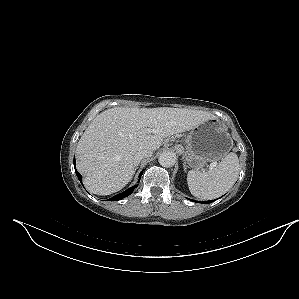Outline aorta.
<instances>
[{"label":"aorta","mask_w":299,"mask_h":299,"mask_svg":"<svg viewBox=\"0 0 299 299\" xmlns=\"http://www.w3.org/2000/svg\"><path fill=\"white\" fill-rule=\"evenodd\" d=\"M158 161L163 167H172L176 162V155L173 152H163L160 154Z\"/></svg>","instance_id":"1"}]
</instances>
